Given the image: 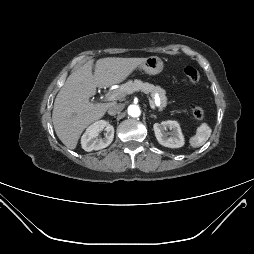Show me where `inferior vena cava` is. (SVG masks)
Returning a JSON list of instances; mask_svg holds the SVG:
<instances>
[{
  "label": "inferior vena cava",
  "instance_id": "1",
  "mask_svg": "<svg viewBox=\"0 0 254 254\" xmlns=\"http://www.w3.org/2000/svg\"><path fill=\"white\" fill-rule=\"evenodd\" d=\"M124 106L122 104H112L109 108H108V114L109 115H116L118 113H120L123 110Z\"/></svg>",
  "mask_w": 254,
  "mask_h": 254
}]
</instances>
